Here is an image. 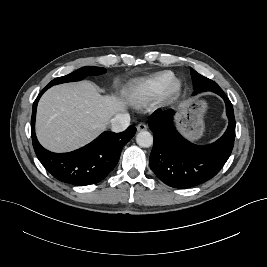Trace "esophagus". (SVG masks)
Here are the masks:
<instances>
[{"mask_svg": "<svg viewBox=\"0 0 267 267\" xmlns=\"http://www.w3.org/2000/svg\"><path fill=\"white\" fill-rule=\"evenodd\" d=\"M137 130L138 131H145V130H147V125L145 123H139L137 125Z\"/></svg>", "mask_w": 267, "mask_h": 267, "instance_id": "1", "label": "esophagus"}]
</instances>
